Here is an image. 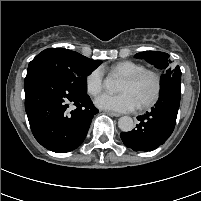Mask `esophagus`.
I'll use <instances>...</instances> for the list:
<instances>
[{
    "label": "esophagus",
    "mask_w": 201,
    "mask_h": 201,
    "mask_svg": "<svg viewBox=\"0 0 201 201\" xmlns=\"http://www.w3.org/2000/svg\"><path fill=\"white\" fill-rule=\"evenodd\" d=\"M107 114L114 116V117H120L121 116V114L116 113V112H111V111H108Z\"/></svg>",
    "instance_id": "obj_1"
}]
</instances>
